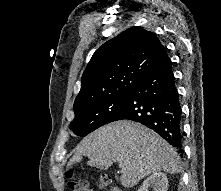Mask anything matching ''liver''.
<instances>
[{
    "label": "liver",
    "instance_id": "obj_1",
    "mask_svg": "<svg viewBox=\"0 0 221 191\" xmlns=\"http://www.w3.org/2000/svg\"><path fill=\"white\" fill-rule=\"evenodd\" d=\"M109 168L118 162L120 181L126 188L135 186L142 178L158 171L179 172L177 152L153 130L128 120H122L95 130L76 147L70 164L80 162Z\"/></svg>",
    "mask_w": 221,
    "mask_h": 191
}]
</instances>
